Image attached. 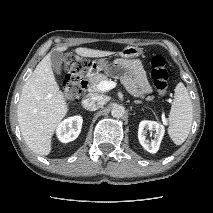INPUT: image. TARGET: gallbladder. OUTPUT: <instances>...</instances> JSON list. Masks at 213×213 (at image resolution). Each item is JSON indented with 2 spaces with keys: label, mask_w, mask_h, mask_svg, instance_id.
Segmentation results:
<instances>
[{
  "label": "gallbladder",
  "mask_w": 213,
  "mask_h": 213,
  "mask_svg": "<svg viewBox=\"0 0 213 213\" xmlns=\"http://www.w3.org/2000/svg\"><path fill=\"white\" fill-rule=\"evenodd\" d=\"M63 59H64V56L62 52L57 50H53L50 52L51 65L53 67L54 72L57 75L61 74Z\"/></svg>",
  "instance_id": "obj_1"
}]
</instances>
